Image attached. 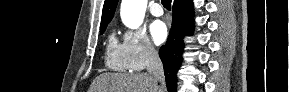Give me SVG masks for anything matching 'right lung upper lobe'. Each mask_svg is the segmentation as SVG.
Returning a JSON list of instances; mask_svg holds the SVG:
<instances>
[{"mask_svg":"<svg viewBox=\"0 0 289 92\" xmlns=\"http://www.w3.org/2000/svg\"><path fill=\"white\" fill-rule=\"evenodd\" d=\"M177 1V0H174ZM118 0H105L100 27L108 25L112 20Z\"/></svg>","mask_w":289,"mask_h":92,"instance_id":"right-lung-upper-lobe-1","label":"right lung upper lobe"}]
</instances>
